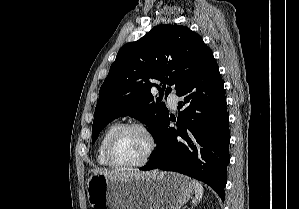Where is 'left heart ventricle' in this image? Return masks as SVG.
I'll list each match as a JSON object with an SVG mask.
<instances>
[{"label":"left heart ventricle","instance_id":"b2bd125f","mask_svg":"<svg viewBox=\"0 0 299 209\" xmlns=\"http://www.w3.org/2000/svg\"><path fill=\"white\" fill-rule=\"evenodd\" d=\"M148 148L145 136L137 130H126L115 140L113 160L122 165L131 164L143 158Z\"/></svg>","mask_w":299,"mask_h":209}]
</instances>
